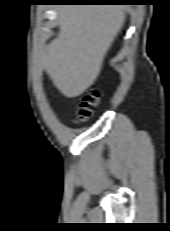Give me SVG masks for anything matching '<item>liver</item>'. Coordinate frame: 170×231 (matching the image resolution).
Instances as JSON below:
<instances>
[{
  "label": "liver",
  "mask_w": 170,
  "mask_h": 231,
  "mask_svg": "<svg viewBox=\"0 0 170 231\" xmlns=\"http://www.w3.org/2000/svg\"><path fill=\"white\" fill-rule=\"evenodd\" d=\"M57 12L59 34L45 46L40 61L55 87L74 98L97 79L126 14L116 5H68Z\"/></svg>",
  "instance_id": "1"
}]
</instances>
